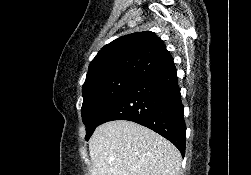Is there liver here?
<instances>
[{"label":"liver","instance_id":"1","mask_svg":"<svg viewBox=\"0 0 251 175\" xmlns=\"http://www.w3.org/2000/svg\"><path fill=\"white\" fill-rule=\"evenodd\" d=\"M90 175H180L181 153L152 129L116 119L89 139Z\"/></svg>","mask_w":251,"mask_h":175}]
</instances>
